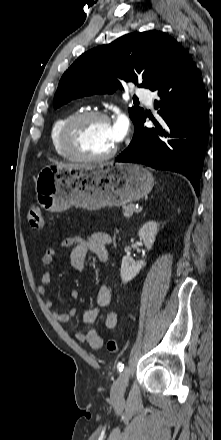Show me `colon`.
<instances>
[{
	"mask_svg": "<svg viewBox=\"0 0 221 440\" xmlns=\"http://www.w3.org/2000/svg\"><path fill=\"white\" fill-rule=\"evenodd\" d=\"M28 222L32 228L42 229L44 226V220L41 209L33 205L28 210ZM106 348L111 353H117L119 351V343L115 339H109L106 343Z\"/></svg>",
	"mask_w": 221,
	"mask_h": 440,
	"instance_id": "1",
	"label": "colon"
}]
</instances>
